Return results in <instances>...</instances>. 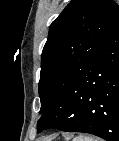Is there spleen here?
<instances>
[{
	"mask_svg": "<svg viewBox=\"0 0 119 141\" xmlns=\"http://www.w3.org/2000/svg\"><path fill=\"white\" fill-rule=\"evenodd\" d=\"M74 141H97L96 139L92 138V137H82V136H79L77 138L74 139Z\"/></svg>",
	"mask_w": 119,
	"mask_h": 141,
	"instance_id": "1",
	"label": "spleen"
}]
</instances>
